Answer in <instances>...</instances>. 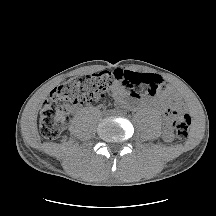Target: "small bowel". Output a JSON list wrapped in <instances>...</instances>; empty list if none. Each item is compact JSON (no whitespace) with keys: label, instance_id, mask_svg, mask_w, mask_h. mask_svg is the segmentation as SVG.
Instances as JSON below:
<instances>
[{"label":"small bowel","instance_id":"obj_1","mask_svg":"<svg viewBox=\"0 0 216 216\" xmlns=\"http://www.w3.org/2000/svg\"><path fill=\"white\" fill-rule=\"evenodd\" d=\"M127 72L134 75L138 84L147 86V90L144 93H135L126 86L117 85L113 87L110 93L118 105L127 106V99L130 98L139 104L151 102L158 109L166 113L172 108H181L184 106L177 91L166 83L161 76L154 73ZM163 138L167 141L173 138V131L169 124L164 128Z\"/></svg>","mask_w":216,"mask_h":216}]
</instances>
